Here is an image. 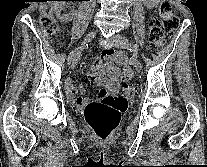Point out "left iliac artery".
<instances>
[{
  "mask_svg": "<svg viewBox=\"0 0 207 167\" xmlns=\"http://www.w3.org/2000/svg\"><path fill=\"white\" fill-rule=\"evenodd\" d=\"M130 51H133L135 53H138V47L136 45H130L128 48Z\"/></svg>",
  "mask_w": 207,
  "mask_h": 167,
  "instance_id": "left-iliac-artery-1",
  "label": "left iliac artery"
}]
</instances>
